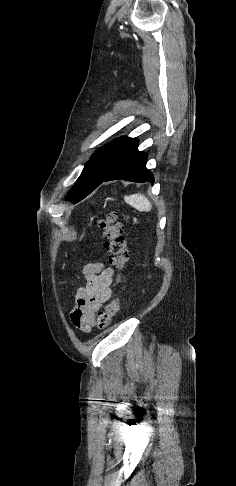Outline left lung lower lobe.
Segmentation results:
<instances>
[{"label":"left lung lower lobe","mask_w":236,"mask_h":486,"mask_svg":"<svg viewBox=\"0 0 236 486\" xmlns=\"http://www.w3.org/2000/svg\"><path fill=\"white\" fill-rule=\"evenodd\" d=\"M137 147L138 141L136 140L102 182L123 179L132 182L153 183L154 177L145 166L147 155L144 152H139Z\"/></svg>","instance_id":"obj_1"}]
</instances>
